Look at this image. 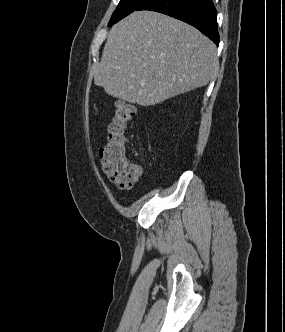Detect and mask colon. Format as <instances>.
Masks as SVG:
<instances>
[{
	"label": "colon",
	"instance_id": "5ec220e1",
	"mask_svg": "<svg viewBox=\"0 0 285 332\" xmlns=\"http://www.w3.org/2000/svg\"><path fill=\"white\" fill-rule=\"evenodd\" d=\"M135 115L133 104L122 100L116 102L106 141L99 152L104 173L121 189L132 188L142 176L141 166L131 161L126 154L125 131Z\"/></svg>",
	"mask_w": 285,
	"mask_h": 332
}]
</instances>
